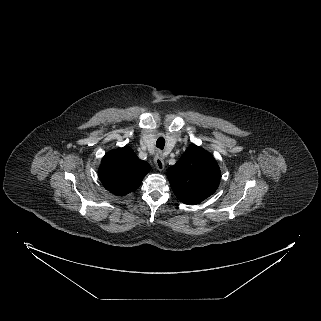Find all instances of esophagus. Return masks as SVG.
<instances>
[{
  "label": "esophagus",
  "mask_w": 321,
  "mask_h": 321,
  "mask_svg": "<svg viewBox=\"0 0 321 321\" xmlns=\"http://www.w3.org/2000/svg\"><path fill=\"white\" fill-rule=\"evenodd\" d=\"M154 162H155L156 168H157L159 171H162V170L164 169L165 163H164L163 158H162L160 155H156V156H155Z\"/></svg>",
  "instance_id": "esophagus-1"
}]
</instances>
